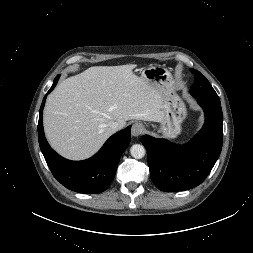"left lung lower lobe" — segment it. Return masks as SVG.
<instances>
[{"label":"left lung lower lobe","instance_id":"1","mask_svg":"<svg viewBox=\"0 0 253 253\" xmlns=\"http://www.w3.org/2000/svg\"><path fill=\"white\" fill-rule=\"evenodd\" d=\"M197 98V97H195ZM205 113V124L183 146L144 135L150 176L165 192L185 191L201 184L216 163L223 142V114L220 100L197 98Z\"/></svg>","mask_w":253,"mask_h":253}]
</instances>
